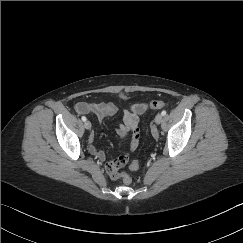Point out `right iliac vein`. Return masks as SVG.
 Masks as SVG:
<instances>
[{"label": "right iliac vein", "instance_id": "right-iliac-vein-1", "mask_svg": "<svg viewBox=\"0 0 243 243\" xmlns=\"http://www.w3.org/2000/svg\"><path fill=\"white\" fill-rule=\"evenodd\" d=\"M84 126H85V128H86L87 130H90V129H91V127H92V125H91V122H90V121H85Z\"/></svg>", "mask_w": 243, "mask_h": 243}]
</instances>
